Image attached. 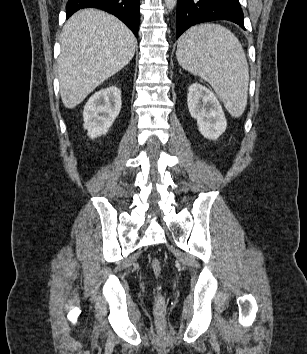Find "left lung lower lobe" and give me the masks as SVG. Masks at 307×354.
<instances>
[{"label":"left lung lower lobe","instance_id":"1","mask_svg":"<svg viewBox=\"0 0 307 354\" xmlns=\"http://www.w3.org/2000/svg\"><path fill=\"white\" fill-rule=\"evenodd\" d=\"M239 0H178L177 38L189 27L202 22L228 20L245 30Z\"/></svg>","mask_w":307,"mask_h":354}]
</instances>
